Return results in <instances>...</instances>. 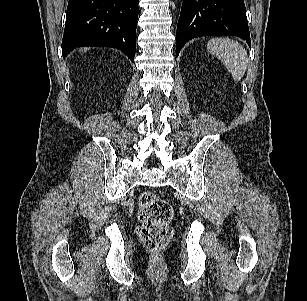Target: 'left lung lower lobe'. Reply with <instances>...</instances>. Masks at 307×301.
<instances>
[{
  "label": "left lung lower lobe",
  "instance_id": "obj_1",
  "mask_svg": "<svg viewBox=\"0 0 307 301\" xmlns=\"http://www.w3.org/2000/svg\"><path fill=\"white\" fill-rule=\"evenodd\" d=\"M235 35L251 47L243 0H184L177 25L176 56L192 38Z\"/></svg>",
  "mask_w": 307,
  "mask_h": 301
}]
</instances>
